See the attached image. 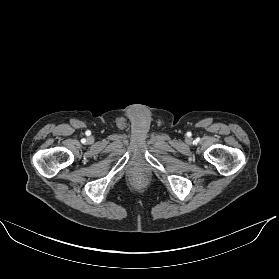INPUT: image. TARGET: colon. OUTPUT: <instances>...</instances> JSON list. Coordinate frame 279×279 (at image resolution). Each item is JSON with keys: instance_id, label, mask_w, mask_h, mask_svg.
Masks as SVG:
<instances>
[{"instance_id": "colon-1", "label": "colon", "mask_w": 279, "mask_h": 279, "mask_svg": "<svg viewBox=\"0 0 279 279\" xmlns=\"http://www.w3.org/2000/svg\"><path fill=\"white\" fill-rule=\"evenodd\" d=\"M137 184L142 185L144 183V179L142 177L137 178Z\"/></svg>"}]
</instances>
